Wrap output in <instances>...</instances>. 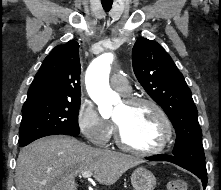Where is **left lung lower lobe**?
I'll list each match as a JSON object with an SVG mask.
<instances>
[{"instance_id":"left-lung-lower-lobe-1","label":"left lung lower lobe","mask_w":221,"mask_h":190,"mask_svg":"<svg viewBox=\"0 0 221 190\" xmlns=\"http://www.w3.org/2000/svg\"><path fill=\"white\" fill-rule=\"evenodd\" d=\"M146 159H148L150 161H168V162L174 163V164L192 172L193 174H195L198 178L201 179V181L203 183V189L206 188V184H207L206 166L190 163V162H188L186 160H182L174 155L159 154V155L146 157Z\"/></svg>"}]
</instances>
